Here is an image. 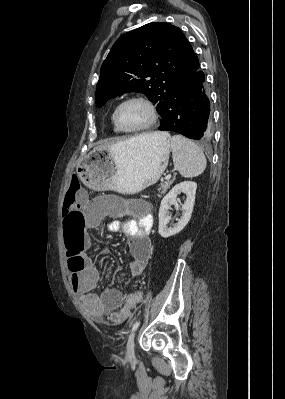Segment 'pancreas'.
<instances>
[{
  "instance_id": "obj_1",
  "label": "pancreas",
  "mask_w": 285,
  "mask_h": 399,
  "mask_svg": "<svg viewBox=\"0 0 285 399\" xmlns=\"http://www.w3.org/2000/svg\"><path fill=\"white\" fill-rule=\"evenodd\" d=\"M172 183H173L172 180L171 181H166L164 183H161L159 185V189L158 190L160 191L161 194H165L166 191L169 189V187L172 185Z\"/></svg>"
}]
</instances>
